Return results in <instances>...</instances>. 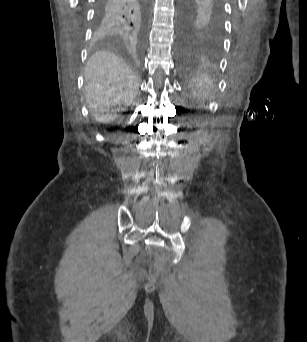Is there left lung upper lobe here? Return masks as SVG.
<instances>
[{"instance_id": "left-lung-upper-lobe-1", "label": "left lung upper lobe", "mask_w": 307, "mask_h": 342, "mask_svg": "<svg viewBox=\"0 0 307 342\" xmlns=\"http://www.w3.org/2000/svg\"><path fill=\"white\" fill-rule=\"evenodd\" d=\"M180 45L185 54L218 53L222 46V0H181Z\"/></svg>"}]
</instances>
